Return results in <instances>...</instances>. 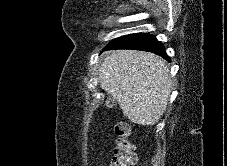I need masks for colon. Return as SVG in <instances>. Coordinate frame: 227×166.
Wrapping results in <instances>:
<instances>
[{"label":"colon","instance_id":"1","mask_svg":"<svg viewBox=\"0 0 227 166\" xmlns=\"http://www.w3.org/2000/svg\"><path fill=\"white\" fill-rule=\"evenodd\" d=\"M117 135L114 157L109 166H132L135 163L134 145L129 126L120 122L115 126Z\"/></svg>","mask_w":227,"mask_h":166}]
</instances>
